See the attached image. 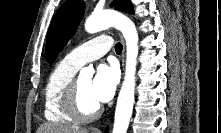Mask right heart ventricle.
<instances>
[{
	"label": "right heart ventricle",
	"instance_id": "right-heart-ventricle-1",
	"mask_svg": "<svg viewBox=\"0 0 221 133\" xmlns=\"http://www.w3.org/2000/svg\"><path fill=\"white\" fill-rule=\"evenodd\" d=\"M78 69L66 60H62L50 72L44 87V116L49 122L73 123V118L63 109L62 96Z\"/></svg>",
	"mask_w": 221,
	"mask_h": 133
}]
</instances>
